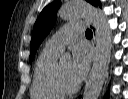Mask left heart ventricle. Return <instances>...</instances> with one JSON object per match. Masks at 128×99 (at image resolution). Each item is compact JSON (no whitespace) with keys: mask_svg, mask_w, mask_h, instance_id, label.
I'll return each instance as SVG.
<instances>
[{"mask_svg":"<svg viewBox=\"0 0 128 99\" xmlns=\"http://www.w3.org/2000/svg\"><path fill=\"white\" fill-rule=\"evenodd\" d=\"M70 60H64L60 62V70L62 74V78L68 86H73L76 83V81L73 79L71 72H70Z\"/></svg>","mask_w":128,"mask_h":99,"instance_id":"obj_1","label":"left heart ventricle"}]
</instances>
